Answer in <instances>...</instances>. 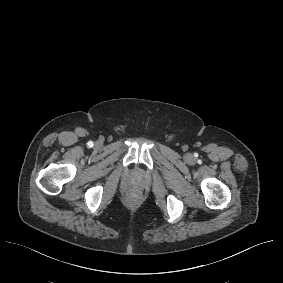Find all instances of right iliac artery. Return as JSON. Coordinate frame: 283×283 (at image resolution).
Returning <instances> with one entry per match:
<instances>
[{
  "instance_id": "82829eb1",
  "label": "right iliac artery",
  "mask_w": 283,
  "mask_h": 283,
  "mask_svg": "<svg viewBox=\"0 0 283 283\" xmlns=\"http://www.w3.org/2000/svg\"><path fill=\"white\" fill-rule=\"evenodd\" d=\"M87 145H88V147H92V146H93V142H92V141H89V142L87 143Z\"/></svg>"
}]
</instances>
